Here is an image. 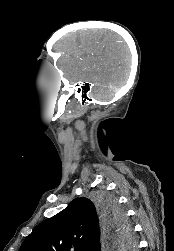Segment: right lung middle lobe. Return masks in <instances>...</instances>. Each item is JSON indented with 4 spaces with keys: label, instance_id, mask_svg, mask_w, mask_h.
I'll use <instances>...</instances> for the list:
<instances>
[{
    "label": "right lung middle lobe",
    "instance_id": "dd1d6c3e",
    "mask_svg": "<svg viewBox=\"0 0 174 251\" xmlns=\"http://www.w3.org/2000/svg\"><path fill=\"white\" fill-rule=\"evenodd\" d=\"M92 200L99 209L105 225L111 230V235L116 240L115 244L123 250H134L136 243L132 239L131 226L128 223L125 211L113 196L101 191L96 193Z\"/></svg>",
    "mask_w": 174,
    "mask_h": 251
}]
</instances>
